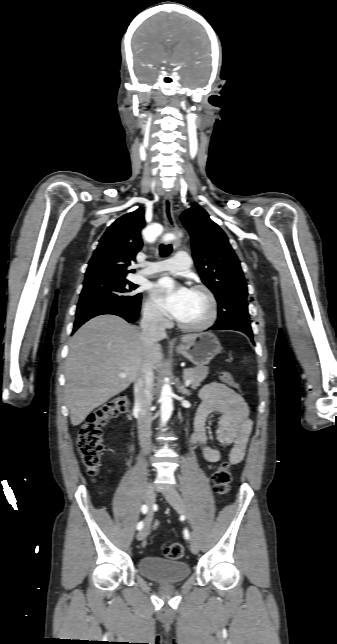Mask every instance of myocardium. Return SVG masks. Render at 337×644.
Wrapping results in <instances>:
<instances>
[{"mask_svg": "<svg viewBox=\"0 0 337 644\" xmlns=\"http://www.w3.org/2000/svg\"><path fill=\"white\" fill-rule=\"evenodd\" d=\"M191 291L200 292L206 297L209 305L208 316L203 322L199 324L188 325L180 322L177 319L176 324L180 329L187 332H202L209 329L215 324L218 318V302L212 290L203 284L194 285L191 288Z\"/></svg>", "mask_w": 337, "mask_h": 644, "instance_id": "f54148a6", "label": "myocardium"}]
</instances>
